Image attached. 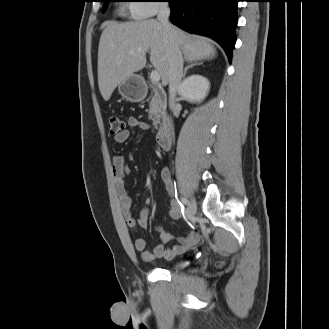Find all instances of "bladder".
<instances>
[{"mask_svg":"<svg viewBox=\"0 0 329 329\" xmlns=\"http://www.w3.org/2000/svg\"><path fill=\"white\" fill-rule=\"evenodd\" d=\"M182 264L183 263L181 261H174V262L169 264L168 268H169V270H174V269L182 266Z\"/></svg>","mask_w":329,"mask_h":329,"instance_id":"bladder-1","label":"bladder"}]
</instances>
